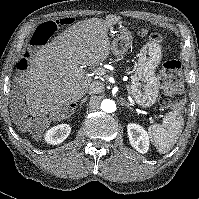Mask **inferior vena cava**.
<instances>
[{
  "label": "inferior vena cava",
  "mask_w": 199,
  "mask_h": 199,
  "mask_svg": "<svg viewBox=\"0 0 199 199\" xmlns=\"http://www.w3.org/2000/svg\"><path fill=\"white\" fill-rule=\"evenodd\" d=\"M104 89V86L101 82L99 81H94L92 82L87 91L91 94V93H99V92H102V90Z\"/></svg>",
  "instance_id": "obj_1"
}]
</instances>
